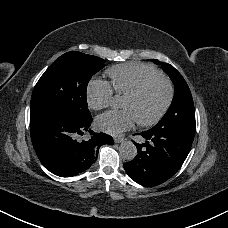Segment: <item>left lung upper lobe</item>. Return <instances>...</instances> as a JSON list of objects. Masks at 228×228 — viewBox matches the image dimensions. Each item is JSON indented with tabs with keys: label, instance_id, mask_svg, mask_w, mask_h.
Returning <instances> with one entry per match:
<instances>
[{
	"label": "left lung upper lobe",
	"instance_id": "left-lung-upper-lobe-1",
	"mask_svg": "<svg viewBox=\"0 0 228 228\" xmlns=\"http://www.w3.org/2000/svg\"><path fill=\"white\" fill-rule=\"evenodd\" d=\"M154 62L158 63L157 60ZM162 69L171 78L175 93L172 104L164 117L153 127L168 131H186L195 133V110L190 89L181 74L170 64Z\"/></svg>",
	"mask_w": 228,
	"mask_h": 228
}]
</instances>
